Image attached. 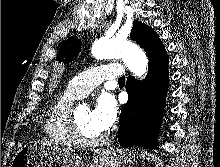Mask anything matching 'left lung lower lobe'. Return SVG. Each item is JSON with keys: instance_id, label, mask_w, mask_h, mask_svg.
<instances>
[{"instance_id": "0a47b994", "label": "left lung lower lobe", "mask_w": 220, "mask_h": 167, "mask_svg": "<svg viewBox=\"0 0 220 167\" xmlns=\"http://www.w3.org/2000/svg\"><path fill=\"white\" fill-rule=\"evenodd\" d=\"M146 79L129 76L126 91L129 100L121 110L118 140L122 147L156 148L155 139L163 117L168 84V58L165 50L149 55Z\"/></svg>"}]
</instances>
